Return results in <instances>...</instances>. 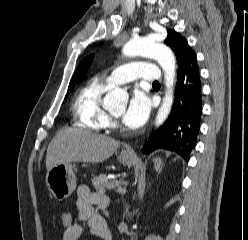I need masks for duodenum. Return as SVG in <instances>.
<instances>
[{
    "label": "duodenum",
    "instance_id": "obj_1",
    "mask_svg": "<svg viewBox=\"0 0 248 240\" xmlns=\"http://www.w3.org/2000/svg\"><path fill=\"white\" fill-rule=\"evenodd\" d=\"M93 233L102 240H112L111 231L104 221L94 227Z\"/></svg>",
    "mask_w": 248,
    "mask_h": 240
}]
</instances>
